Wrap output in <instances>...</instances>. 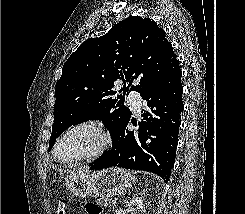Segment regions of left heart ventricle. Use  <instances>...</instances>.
I'll return each mask as SVG.
<instances>
[{"mask_svg": "<svg viewBox=\"0 0 245 214\" xmlns=\"http://www.w3.org/2000/svg\"><path fill=\"white\" fill-rule=\"evenodd\" d=\"M99 144L98 135L88 129H80L65 136L57 148L60 159H73L93 151Z\"/></svg>", "mask_w": 245, "mask_h": 214, "instance_id": "1", "label": "left heart ventricle"}]
</instances>
